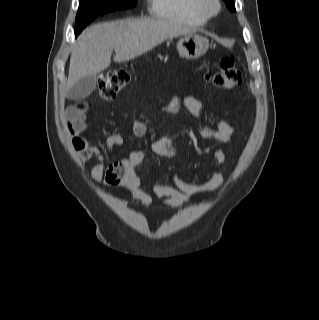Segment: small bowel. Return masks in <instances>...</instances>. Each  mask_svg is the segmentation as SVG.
I'll use <instances>...</instances> for the list:
<instances>
[{"instance_id":"small-bowel-1","label":"small bowel","mask_w":319,"mask_h":320,"mask_svg":"<svg viewBox=\"0 0 319 320\" xmlns=\"http://www.w3.org/2000/svg\"><path fill=\"white\" fill-rule=\"evenodd\" d=\"M182 109L188 110L196 118L203 120L205 108L203 102L194 96H174L161 109L164 113L177 114ZM85 105H78L68 112L65 126L67 136L72 148L75 150L81 163H85L91 158L96 160L92 167L90 178L94 182L104 181L107 186L118 187L129 195L134 197L144 207H150L154 203V196L163 198V205L170 208H177L189 198L196 194L213 190L224 182L222 172L213 167L208 174L198 180L184 179L178 175L173 177V186L153 183L151 191L141 187L142 180L136 174L135 168L141 164L144 159V153L137 151L128 158L118 161L121 164L120 169L113 171L117 180H111L108 173L111 165H107L106 157L103 151L90 144L89 140L83 135L87 129L85 122ZM147 130L144 121L136 119L133 123V132L136 136L143 135ZM200 136L215 139L222 143H230L234 134L233 127L227 122L211 120L203 123L197 128ZM125 139L120 134H111L106 139V150L112 154L116 147L124 145ZM153 152L164 159H173L176 156V148L173 139L163 135L157 137L152 144ZM212 161L217 165H223L226 162V154L222 150H214L211 153Z\"/></svg>"}]
</instances>
